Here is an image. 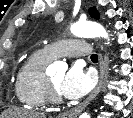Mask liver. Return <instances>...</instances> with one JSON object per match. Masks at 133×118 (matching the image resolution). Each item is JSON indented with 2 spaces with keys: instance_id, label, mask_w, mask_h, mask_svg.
Segmentation results:
<instances>
[{
  "instance_id": "liver-1",
  "label": "liver",
  "mask_w": 133,
  "mask_h": 118,
  "mask_svg": "<svg viewBox=\"0 0 133 118\" xmlns=\"http://www.w3.org/2000/svg\"><path fill=\"white\" fill-rule=\"evenodd\" d=\"M46 118L44 113L25 108H13L5 111L2 118Z\"/></svg>"
}]
</instances>
